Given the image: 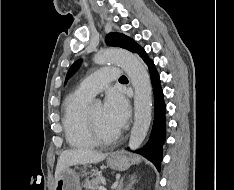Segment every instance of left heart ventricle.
I'll list each match as a JSON object with an SVG mask.
<instances>
[{
    "mask_svg": "<svg viewBox=\"0 0 234 190\" xmlns=\"http://www.w3.org/2000/svg\"><path fill=\"white\" fill-rule=\"evenodd\" d=\"M90 114L102 132L111 134L118 130V128L112 125L106 118L104 107L102 105L93 107L90 110Z\"/></svg>",
    "mask_w": 234,
    "mask_h": 190,
    "instance_id": "1",
    "label": "left heart ventricle"
}]
</instances>
